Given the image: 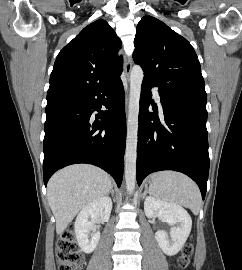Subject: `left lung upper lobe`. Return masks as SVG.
Segmentation results:
<instances>
[{
	"label": "left lung upper lobe",
	"mask_w": 242,
	"mask_h": 270,
	"mask_svg": "<svg viewBox=\"0 0 242 270\" xmlns=\"http://www.w3.org/2000/svg\"><path fill=\"white\" fill-rule=\"evenodd\" d=\"M133 59L144 79L172 97L207 100L198 57L191 44L166 24L144 16L136 28Z\"/></svg>",
	"instance_id": "1"
}]
</instances>
